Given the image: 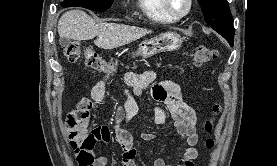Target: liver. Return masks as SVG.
Here are the masks:
<instances>
[{
	"label": "liver",
	"mask_w": 277,
	"mask_h": 166,
	"mask_svg": "<svg viewBox=\"0 0 277 166\" xmlns=\"http://www.w3.org/2000/svg\"><path fill=\"white\" fill-rule=\"evenodd\" d=\"M152 31L117 23H96L81 10L65 12L58 21L60 38L68 40H90L98 36L94 44L103 49H114L129 44Z\"/></svg>",
	"instance_id": "obj_1"
}]
</instances>
